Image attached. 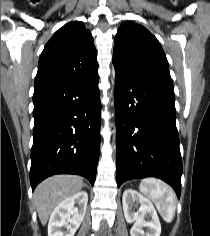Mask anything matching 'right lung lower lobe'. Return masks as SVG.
Instances as JSON below:
<instances>
[{
    "label": "right lung lower lobe",
    "mask_w": 210,
    "mask_h": 236,
    "mask_svg": "<svg viewBox=\"0 0 210 236\" xmlns=\"http://www.w3.org/2000/svg\"><path fill=\"white\" fill-rule=\"evenodd\" d=\"M97 70L34 96L32 190L45 178L77 174L93 185L100 148V93Z\"/></svg>",
    "instance_id": "right-lung-lower-lobe-1"
}]
</instances>
